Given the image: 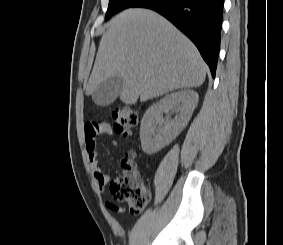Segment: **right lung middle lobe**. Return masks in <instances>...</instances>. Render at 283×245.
Segmentation results:
<instances>
[{"label": "right lung middle lobe", "mask_w": 283, "mask_h": 245, "mask_svg": "<svg viewBox=\"0 0 283 245\" xmlns=\"http://www.w3.org/2000/svg\"><path fill=\"white\" fill-rule=\"evenodd\" d=\"M140 0H109L108 10L106 12L105 20H108L111 16L119 11L132 7Z\"/></svg>", "instance_id": "dd1d6c3e"}]
</instances>
